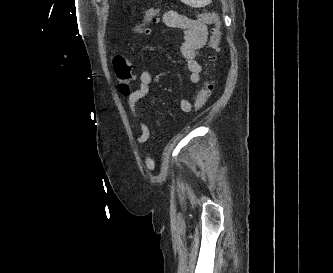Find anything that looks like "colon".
Instances as JSON below:
<instances>
[{
    "label": "colon",
    "instance_id": "obj_1",
    "mask_svg": "<svg viewBox=\"0 0 333 273\" xmlns=\"http://www.w3.org/2000/svg\"><path fill=\"white\" fill-rule=\"evenodd\" d=\"M158 18V9L148 10L144 14L143 19L134 26L135 34L138 36L147 34L149 32L150 24L155 23ZM199 20L206 24L215 25L208 42V48H216L219 45L222 36V24L218 15L214 12H207L201 14ZM207 58L210 63L214 64L215 57L213 55L209 54ZM113 66L119 90L123 96H128L130 94L131 83L134 79L132 60L126 56H116L113 60ZM213 87L214 84L211 80H208L203 84L194 99L195 110L201 109L206 104L213 91Z\"/></svg>",
    "mask_w": 333,
    "mask_h": 273
}]
</instances>
